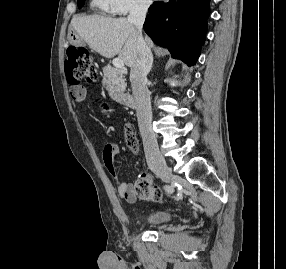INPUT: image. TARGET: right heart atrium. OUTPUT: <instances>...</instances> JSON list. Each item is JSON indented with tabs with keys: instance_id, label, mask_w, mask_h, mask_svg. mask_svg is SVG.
<instances>
[{
	"instance_id": "1",
	"label": "right heart atrium",
	"mask_w": 286,
	"mask_h": 269,
	"mask_svg": "<svg viewBox=\"0 0 286 269\" xmlns=\"http://www.w3.org/2000/svg\"><path fill=\"white\" fill-rule=\"evenodd\" d=\"M113 13L124 16L130 13H141L149 9L151 0H110Z\"/></svg>"
}]
</instances>
